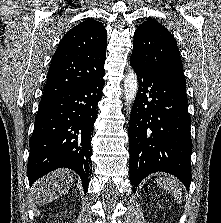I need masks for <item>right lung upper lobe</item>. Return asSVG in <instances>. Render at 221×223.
<instances>
[{"instance_id": "right-lung-upper-lobe-1", "label": "right lung upper lobe", "mask_w": 221, "mask_h": 223, "mask_svg": "<svg viewBox=\"0 0 221 223\" xmlns=\"http://www.w3.org/2000/svg\"><path fill=\"white\" fill-rule=\"evenodd\" d=\"M107 32L87 19L69 30L53 56L42 99L74 89L105 72Z\"/></svg>"}]
</instances>
